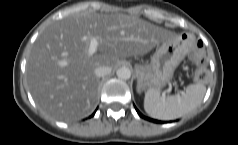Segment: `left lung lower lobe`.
<instances>
[{"label": "left lung lower lobe", "instance_id": "0a47b994", "mask_svg": "<svg viewBox=\"0 0 238 145\" xmlns=\"http://www.w3.org/2000/svg\"><path fill=\"white\" fill-rule=\"evenodd\" d=\"M135 109H136V111H137V113L139 114L140 117H142V118H144V119H147V120H149V121H153V122H157V123H158L157 120H153V119H150V118H146L145 116H143V115L138 111L137 108H135Z\"/></svg>", "mask_w": 238, "mask_h": 145}]
</instances>
